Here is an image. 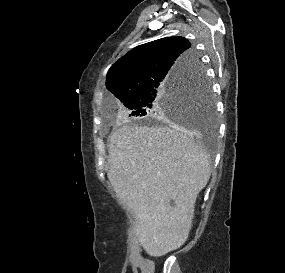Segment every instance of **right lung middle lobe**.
<instances>
[{
	"mask_svg": "<svg viewBox=\"0 0 285 273\" xmlns=\"http://www.w3.org/2000/svg\"><path fill=\"white\" fill-rule=\"evenodd\" d=\"M124 105L132 116L176 120L215 128V108L210 82L201 66L167 83L129 99Z\"/></svg>",
	"mask_w": 285,
	"mask_h": 273,
	"instance_id": "dd1d6c3e",
	"label": "right lung middle lobe"
}]
</instances>
